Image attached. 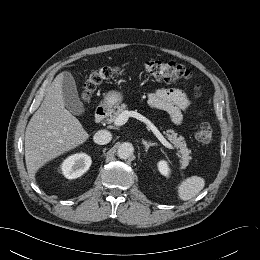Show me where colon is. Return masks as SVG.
<instances>
[{
  "label": "colon",
  "mask_w": 260,
  "mask_h": 260,
  "mask_svg": "<svg viewBox=\"0 0 260 260\" xmlns=\"http://www.w3.org/2000/svg\"><path fill=\"white\" fill-rule=\"evenodd\" d=\"M142 70L153 79L165 83H177L191 79L190 71L183 65L173 61L150 60L143 64ZM119 73L120 69L118 67L110 66L100 67L87 73L83 83L82 98L88 99L100 83L113 78ZM193 93L195 97L198 96L197 87L194 88ZM195 137L203 144L210 143L213 138V131L209 123L201 120L195 129Z\"/></svg>",
  "instance_id": "colon-1"
}]
</instances>
